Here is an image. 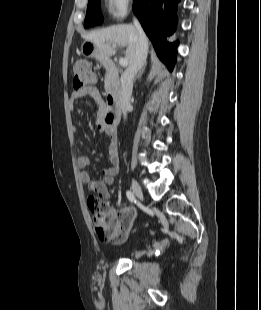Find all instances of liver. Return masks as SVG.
Returning a JSON list of instances; mask_svg holds the SVG:
<instances>
[{"label": "liver", "mask_w": 261, "mask_h": 310, "mask_svg": "<svg viewBox=\"0 0 261 310\" xmlns=\"http://www.w3.org/2000/svg\"><path fill=\"white\" fill-rule=\"evenodd\" d=\"M83 37L95 44L102 57L115 55L116 50L111 44L126 47L125 59L130 63L138 41V31L132 25H115L93 31Z\"/></svg>", "instance_id": "liver-1"}]
</instances>
